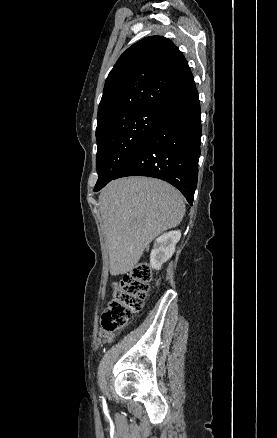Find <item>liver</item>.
<instances>
[{
	"label": "liver",
	"instance_id": "obj_1",
	"mask_svg": "<svg viewBox=\"0 0 277 438\" xmlns=\"http://www.w3.org/2000/svg\"><path fill=\"white\" fill-rule=\"evenodd\" d=\"M99 204L111 276L133 270L148 244L176 228L186 212L176 188L143 176L113 180L101 190Z\"/></svg>",
	"mask_w": 277,
	"mask_h": 438
}]
</instances>
